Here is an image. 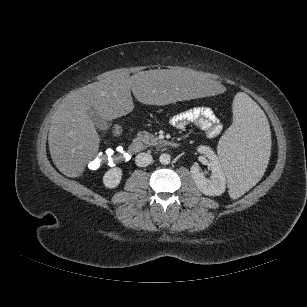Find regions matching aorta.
<instances>
[{"instance_id":"762f6f07","label":"aorta","mask_w":307,"mask_h":307,"mask_svg":"<svg viewBox=\"0 0 307 307\" xmlns=\"http://www.w3.org/2000/svg\"><path fill=\"white\" fill-rule=\"evenodd\" d=\"M159 161H160L161 164L167 165L171 161V156L167 153H163V154L160 155Z\"/></svg>"}]
</instances>
